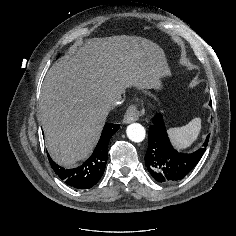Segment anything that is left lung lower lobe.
I'll use <instances>...</instances> for the list:
<instances>
[{
  "mask_svg": "<svg viewBox=\"0 0 236 236\" xmlns=\"http://www.w3.org/2000/svg\"><path fill=\"white\" fill-rule=\"evenodd\" d=\"M149 127L148 149L145 162L152 177L162 183H173L184 178L199 162L209 141L206 137L197 151L180 153L171 145L161 114L154 116Z\"/></svg>",
  "mask_w": 236,
  "mask_h": 236,
  "instance_id": "left-lung-lower-lobe-1",
  "label": "left lung lower lobe"
}]
</instances>
